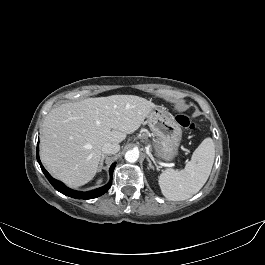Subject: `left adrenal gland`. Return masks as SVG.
<instances>
[{"mask_svg": "<svg viewBox=\"0 0 265 265\" xmlns=\"http://www.w3.org/2000/svg\"><path fill=\"white\" fill-rule=\"evenodd\" d=\"M147 161H148V165H149L148 169H150V168L154 169V166L152 165L151 160L149 158H147Z\"/></svg>", "mask_w": 265, "mask_h": 265, "instance_id": "left-adrenal-gland-1", "label": "left adrenal gland"}]
</instances>
